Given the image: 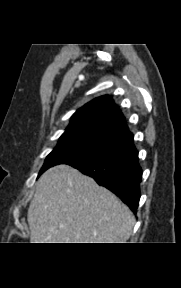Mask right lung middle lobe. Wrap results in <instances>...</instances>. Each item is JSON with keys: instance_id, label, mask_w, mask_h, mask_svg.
I'll use <instances>...</instances> for the list:
<instances>
[{"instance_id": "obj_1", "label": "right lung middle lobe", "mask_w": 181, "mask_h": 288, "mask_svg": "<svg viewBox=\"0 0 181 288\" xmlns=\"http://www.w3.org/2000/svg\"><path fill=\"white\" fill-rule=\"evenodd\" d=\"M114 156L105 148L93 145L82 140H60L54 150L47 156L41 175L48 168L58 164H70L75 161L102 159Z\"/></svg>"}]
</instances>
